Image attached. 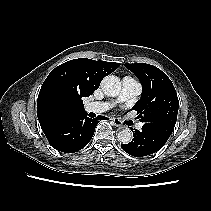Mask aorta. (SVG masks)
<instances>
[{"label":"aorta","mask_w":211,"mask_h":211,"mask_svg":"<svg viewBox=\"0 0 211 211\" xmlns=\"http://www.w3.org/2000/svg\"><path fill=\"white\" fill-rule=\"evenodd\" d=\"M101 88L105 95L115 97L121 90V81L117 76L108 75L103 78ZM118 141L128 144L132 140V132L130 129H123L117 134Z\"/></svg>","instance_id":"1"}]
</instances>
